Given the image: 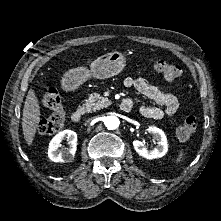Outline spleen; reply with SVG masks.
<instances>
[{
  "label": "spleen",
  "mask_w": 221,
  "mask_h": 221,
  "mask_svg": "<svg viewBox=\"0 0 221 221\" xmlns=\"http://www.w3.org/2000/svg\"><path fill=\"white\" fill-rule=\"evenodd\" d=\"M182 157H183V152L180 151L178 158H177V163H179L181 161Z\"/></svg>",
  "instance_id": "1"
}]
</instances>
